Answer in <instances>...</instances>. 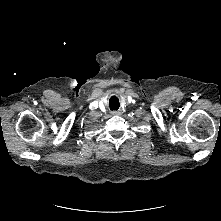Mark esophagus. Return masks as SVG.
I'll use <instances>...</instances> for the list:
<instances>
[{
  "mask_svg": "<svg viewBox=\"0 0 221 221\" xmlns=\"http://www.w3.org/2000/svg\"><path fill=\"white\" fill-rule=\"evenodd\" d=\"M112 114H113V115H120L121 112H120V111H112Z\"/></svg>",
  "mask_w": 221,
  "mask_h": 221,
  "instance_id": "esophagus-1",
  "label": "esophagus"
}]
</instances>
